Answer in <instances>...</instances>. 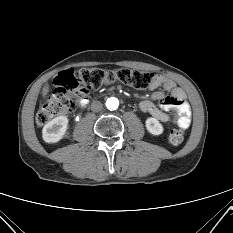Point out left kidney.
<instances>
[{"label":"left kidney","mask_w":233,"mask_h":233,"mask_svg":"<svg viewBox=\"0 0 233 233\" xmlns=\"http://www.w3.org/2000/svg\"><path fill=\"white\" fill-rule=\"evenodd\" d=\"M145 123L148 132L152 135H160L163 133V126L156 118L150 117Z\"/></svg>","instance_id":"left-kidney-1"}]
</instances>
